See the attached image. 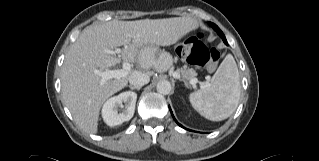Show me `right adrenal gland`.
Here are the masks:
<instances>
[{
	"label": "right adrenal gland",
	"instance_id": "right-adrenal-gland-1",
	"mask_svg": "<svg viewBox=\"0 0 319 161\" xmlns=\"http://www.w3.org/2000/svg\"><path fill=\"white\" fill-rule=\"evenodd\" d=\"M129 88L131 90H137V91H139L141 89V87H135V86H131V85H129Z\"/></svg>",
	"mask_w": 319,
	"mask_h": 161
}]
</instances>
